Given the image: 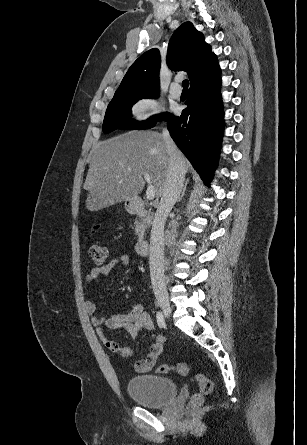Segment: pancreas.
Returning <instances> with one entry per match:
<instances>
[{
    "instance_id": "cf45deb5",
    "label": "pancreas",
    "mask_w": 307,
    "mask_h": 445,
    "mask_svg": "<svg viewBox=\"0 0 307 445\" xmlns=\"http://www.w3.org/2000/svg\"><path fill=\"white\" fill-rule=\"evenodd\" d=\"M150 220H152L151 212L150 210H145V208H142V212L138 214V218H135V235L138 237V241H142L144 231L147 229Z\"/></svg>"
}]
</instances>
